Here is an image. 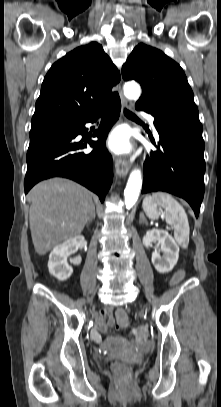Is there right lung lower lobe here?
Listing matches in <instances>:
<instances>
[{"mask_svg":"<svg viewBox=\"0 0 221 407\" xmlns=\"http://www.w3.org/2000/svg\"><path fill=\"white\" fill-rule=\"evenodd\" d=\"M120 98L85 118L59 123L30 131L27 152L25 193L36 183L54 176L72 179L95 192L103 202L113 177L112 157L105 140L120 114ZM102 116V123L93 134L97 141L75 140L88 129L85 124ZM87 144L94 147L90 153L81 150Z\"/></svg>","mask_w":221,"mask_h":407,"instance_id":"obj_1","label":"right lung lower lobe"}]
</instances>
